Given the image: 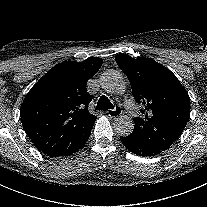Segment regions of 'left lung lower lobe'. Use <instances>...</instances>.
<instances>
[{
    "label": "left lung lower lobe",
    "mask_w": 207,
    "mask_h": 207,
    "mask_svg": "<svg viewBox=\"0 0 207 207\" xmlns=\"http://www.w3.org/2000/svg\"><path fill=\"white\" fill-rule=\"evenodd\" d=\"M120 140L128 150L139 156H155L163 152L158 147L150 145L139 137H132L129 135L120 137Z\"/></svg>",
    "instance_id": "left-lung-lower-lobe-1"
}]
</instances>
